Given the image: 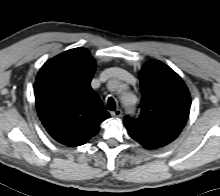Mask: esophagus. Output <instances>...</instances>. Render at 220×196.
<instances>
[{"label": "esophagus", "mask_w": 220, "mask_h": 196, "mask_svg": "<svg viewBox=\"0 0 220 196\" xmlns=\"http://www.w3.org/2000/svg\"><path fill=\"white\" fill-rule=\"evenodd\" d=\"M113 117L121 118L123 116V112L121 109H116L115 111L111 112Z\"/></svg>", "instance_id": "esophagus-1"}]
</instances>
